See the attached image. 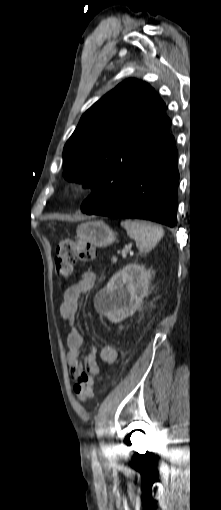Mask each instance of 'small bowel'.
I'll return each mask as SVG.
<instances>
[{
	"label": "small bowel",
	"mask_w": 221,
	"mask_h": 510,
	"mask_svg": "<svg viewBox=\"0 0 221 510\" xmlns=\"http://www.w3.org/2000/svg\"><path fill=\"white\" fill-rule=\"evenodd\" d=\"M96 277L93 272H84L80 279L70 285L64 292L63 300L60 307L61 317L74 323L76 314L79 308L82 297L88 293L95 285ZM68 345V362L70 365L71 373L74 378L81 372H88L94 376L100 374V367L97 363V353L101 360L106 364H113L117 359L116 349L109 344H104L99 352L96 348H92L86 356L84 362L81 361L83 335L81 331L73 327L67 335Z\"/></svg>",
	"instance_id": "small-bowel-1"
}]
</instances>
